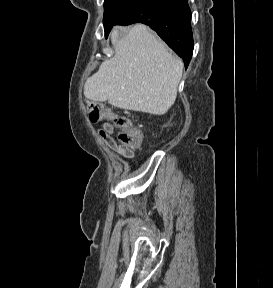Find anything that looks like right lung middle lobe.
Segmentation results:
<instances>
[{"instance_id": "1", "label": "right lung middle lobe", "mask_w": 273, "mask_h": 288, "mask_svg": "<svg viewBox=\"0 0 273 288\" xmlns=\"http://www.w3.org/2000/svg\"><path fill=\"white\" fill-rule=\"evenodd\" d=\"M137 0H105L104 1V29L107 37L112 26Z\"/></svg>"}]
</instances>
